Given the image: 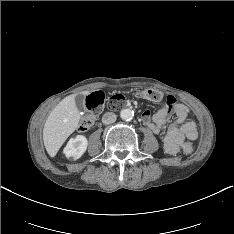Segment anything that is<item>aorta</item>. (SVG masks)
<instances>
[{
    "label": "aorta",
    "instance_id": "aorta-1",
    "mask_svg": "<svg viewBox=\"0 0 234 234\" xmlns=\"http://www.w3.org/2000/svg\"><path fill=\"white\" fill-rule=\"evenodd\" d=\"M133 116H134V112L129 108L123 109L120 112L121 119L126 120V121L131 120Z\"/></svg>",
    "mask_w": 234,
    "mask_h": 234
}]
</instances>
